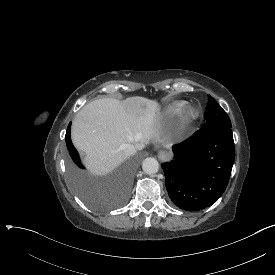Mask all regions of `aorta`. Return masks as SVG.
<instances>
[{
  "mask_svg": "<svg viewBox=\"0 0 275 275\" xmlns=\"http://www.w3.org/2000/svg\"><path fill=\"white\" fill-rule=\"evenodd\" d=\"M158 161L153 157H147L143 160L142 168L143 171L147 174H153L158 171Z\"/></svg>",
  "mask_w": 275,
  "mask_h": 275,
  "instance_id": "aorta-1",
  "label": "aorta"
}]
</instances>
